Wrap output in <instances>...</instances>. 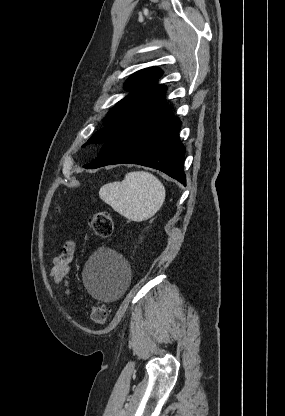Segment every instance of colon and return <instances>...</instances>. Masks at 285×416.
Segmentation results:
<instances>
[{
  "label": "colon",
  "instance_id": "colon-1",
  "mask_svg": "<svg viewBox=\"0 0 285 416\" xmlns=\"http://www.w3.org/2000/svg\"><path fill=\"white\" fill-rule=\"evenodd\" d=\"M89 225L96 236L100 238H108L113 231V220L107 211H99L89 218ZM112 314L111 308L102 302L92 306L90 311V319L98 325H104L110 319Z\"/></svg>",
  "mask_w": 285,
  "mask_h": 416
}]
</instances>
